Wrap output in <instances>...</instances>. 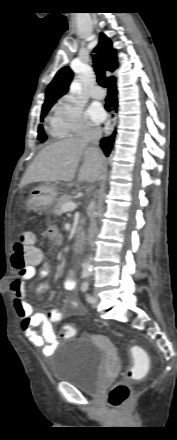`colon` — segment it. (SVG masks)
Returning <instances> with one entry per match:
<instances>
[{"label": "colon", "instance_id": "obj_1", "mask_svg": "<svg viewBox=\"0 0 177 440\" xmlns=\"http://www.w3.org/2000/svg\"><path fill=\"white\" fill-rule=\"evenodd\" d=\"M34 235L26 232L22 233L15 241L13 246L12 264L18 270H24L35 263L39 258V250L33 246ZM75 334L74 327L71 324L62 326L60 337L63 339L72 338ZM131 352L135 364L127 370V380L142 377L149 369V360L146 353L138 348L131 347ZM122 381L114 386L109 396V403L112 407L118 408L124 404L131 393L128 381Z\"/></svg>", "mask_w": 177, "mask_h": 440}]
</instances>
